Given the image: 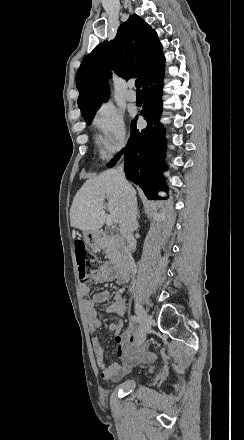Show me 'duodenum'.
<instances>
[{"label": "duodenum", "instance_id": "duodenum-1", "mask_svg": "<svg viewBox=\"0 0 244 440\" xmlns=\"http://www.w3.org/2000/svg\"><path fill=\"white\" fill-rule=\"evenodd\" d=\"M103 239V233L97 232L92 238V242L96 246H101ZM133 264V258L128 254H122L119 256L117 263L115 265L118 272L128 273Z\"/></svg>", "mask_w": 244, "mask_h": 440}]
</instances>
